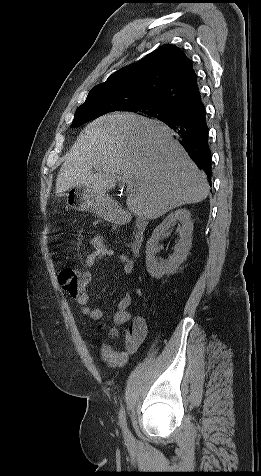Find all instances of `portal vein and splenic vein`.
Wrapping results in <instances>:
<instances>
[{"label":"portal vein and splenic vein","mask_w":261,"mask_h":476,"mask_svg":"<svg viewBox=\"0 0 261 476\" xmlns=\"http://www.w3.org/2000/svg\"><path fill=\"white\" fill-rule=\"evenodd\" d=\"M120 179L123 183L127 185L128 189H131L133 187V182L130 178L123 176V177H120Z\"/></svg>","instance_id":"18ae733b"}]
</instances>
